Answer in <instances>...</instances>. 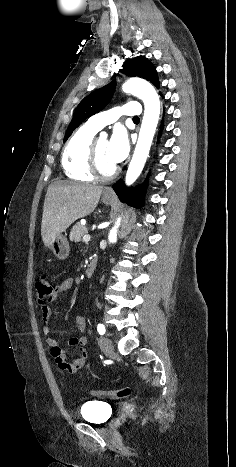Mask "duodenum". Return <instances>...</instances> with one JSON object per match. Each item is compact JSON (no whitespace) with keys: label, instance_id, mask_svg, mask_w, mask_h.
Masks as SVG:
<instances>
[{"label":"duodenum","instance_id":"1","mask_svg":"<svg viewBox=\"0 0 236 467\" xmlns=\"http://www.w3.org/2000/svg\"><path fill=\"white\" fill-rule=\"evenodd\" d=\"M95 270H96V262H95V260L92 259V260L89 261V263H88V265L86 267V275L88 277H91L94 274Z\"/></svg>","mask_w":236,"mask_h":467}]
</instances>
